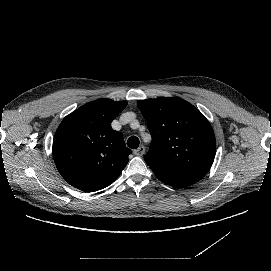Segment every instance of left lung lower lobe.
<instances>
[{
  "mask_svg": "<svg viewBox=\"0 0 271 271\" xmlns=\"http://www.w3.org/2000/svg\"><path fill=\"white\" fill-rule=\"evenodd\" d=\"M145 161L160 181L177 188L190 186L201 180L207 173L204 171L167 165L150 158H145Z\"/></svg>",
  "mask_w": 271,
  "mask_h": 271,
  "instance_id": "1",
  "label": "left lung lower lobe"
}]
</instances>
